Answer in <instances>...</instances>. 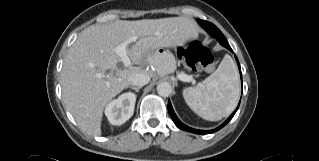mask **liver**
Listing matches in <instances>:
<instances>
[{
	"mask_svg": "<svg viewBox=\"0 0 319 161\" xmlns=\"http://www.w3.org/2000/svg\"><path fill=\"white\" fill-rule=\"evenodd\" d=\"M197 36V23L188 17L118 20L89 26L64 59L61 87L66 108L84 132L101 135L103 110L108 102L127 88L131 74L142 72L148 64L156 68L149 53L160 47L181 46ZM133 37L136 40L127 53L137 66L120 69L115 48ZM107 70L110 72L105 75Z\"/></svg>",
	"mask_w": 319,
	"mask_h": 161,
	"instance_id": "6515ba94",
	"label": "liver"
}]
</instances>
